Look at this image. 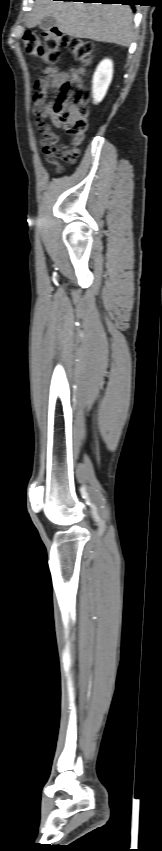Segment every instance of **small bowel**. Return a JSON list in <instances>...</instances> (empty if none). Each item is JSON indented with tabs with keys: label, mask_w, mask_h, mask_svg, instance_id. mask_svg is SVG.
<instances>
[{
	"label": "small bowel",
	"mask_w": 162,
	"mask_h": 851,
	"mask_svg": "<svg viewBox=\"0 0 162 851\" xmlns=\"http://www.w3.org/2000/svg\"><path fill=\"white\" fill-rule=\"evenodd\" d=\"M44 74L45 76L39 78L34 86V93L32 97L33 113L38 117L36 125L38 132L42 137L41 145L45 158L50 163L56 165L58 164V158L68 161L70 152L77 148L74 143L73 146L59 147L57 145L59 141L58 135L53 132L51 127L46 123V120L50 119L56 126H59L56 122L53 102L48 101V92L49 90H53L55 92L60 91L69 75L66 71L59 67L52 66L46 67L44 69Z\"/></svg>",
	"instance_id": "obj_1"
}]
</instances>
